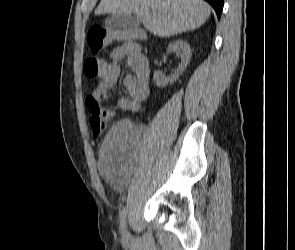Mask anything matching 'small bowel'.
<instances>
[{"instance_id":"obj_1","label":"small bowel","mask_w":295,"mask_h":250,"mask_svg":"<svg viewBox=\"0 0 295 250\" xmlns=\"http://www.w3.org/2000/svg\"><path fill=\"white\" fill-rule=\"evenodd\" d=\"M126 60L132 69L124 78V85L129 98L118 101L120 109L137 111L149 93L150 69L147 58L140 46L131 47L121 44L110 53V62L103 63L104 69L99 83L90 96L100 105L108 98L109 90L117 83L120 76V62ZM137 131L126 121L116 123L104 138L99 151L101 173L109 183L120 190L132 174L133 164L137 155Z\"/></svg>"}]
</instances>
